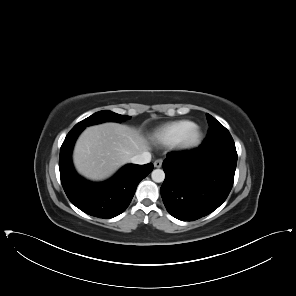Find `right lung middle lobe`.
I'll list each match as a JSON object with an SVG mask.
<instances>
[{
  "label": "right lung middle lobe",
  "mask_w": 296,
  "mask_h": 296,
  "mask_svg": "<svg viewBox=\"0 0 296 296\" xmlns=\"http://www.w3.org/2000/svg\"><path fill=\"white\" fill-rule=\"evenodd\" d=\"M130 116L120 115L108 110L99 111L76 124L73 128L84 129L86 126L98 124L107 121L121 122L122 120L129 119Z\"/></svg>",
  "instance_id": "1"
}]
</instances>
